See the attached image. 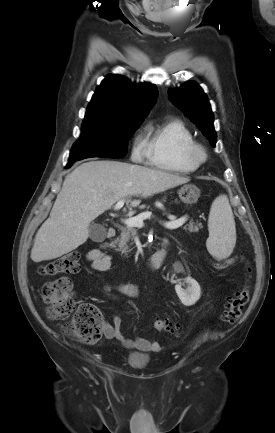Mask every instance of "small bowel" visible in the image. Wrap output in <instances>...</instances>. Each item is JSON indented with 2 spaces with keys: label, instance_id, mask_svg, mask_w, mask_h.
<instances>
[{
  "label": "small bowel",
  "instance_id": "1",
  "mask_svg": "<svg viewBox=\"0 0 275 433\" xmlns=\"http://www.w3.org/2000/svg\"><path fill=\"white\" fill-rule=\"evenodd\" d=\"M87 260L90 262L91 270L105 271L110 267L111 260L102 250L98 248L91 249L86 254ZM108 295L117 293L126 297H134L137 295V287L130 283H119L107 289ZM122 321L119 316L113 318L112 323L104 322L102 324L104 336L107 339H115L119 341L125 348L137 349L143 352H157L162 349L159 342L141 337L135 339L127 338L121 331Z\"/></svg>",
  "mask_w": 275,
  "mask_h": 433
}]
</instances>
